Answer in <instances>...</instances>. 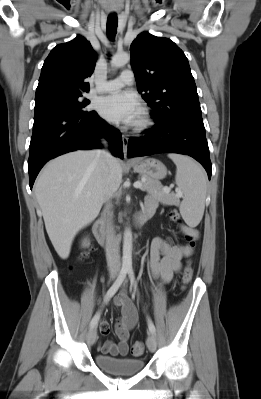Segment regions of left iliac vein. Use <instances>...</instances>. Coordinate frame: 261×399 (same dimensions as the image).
I'll list each match as a JSON object with an SVG mask.
<instances>
[{
  "label": "left iliac vein",
  "mask_w": 261,
  "mask_h": 399,
  "mask_svg": "<svg viewBox=\"0 0 261 399\" xmlns=\"http://www.w3.org/2000/svg\"><path fill=\"white\" fill-rule=\"evenodd\" d=\"M146 343H147L148 349L151 352H154L156 350L157 343H156V337H155L154 333L149 334Z\"/></svg>",
  "instance_id": "left-iliac-vein-1"
}]
</instances>
